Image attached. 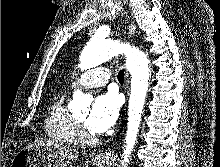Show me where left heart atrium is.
Here are the masks:
<instances>
[{
  "instance_id": "39dd6f15",
  "label": "left heart atrium",
  "mask_w": 220,
  "mask_h": 167,
  "mask_svg": "<svg viewBox=\"0 0 220 167\" xmlns=\"http://www.w3.org/2000/svg\"><path fill=\"white\" fill-rule=\"evenodd\" d=\"M120 100L117 94L108 92L97 97L86 119L88 129L102 133L111 128L118 117Z\"/></svg>"
}]
</instances>
